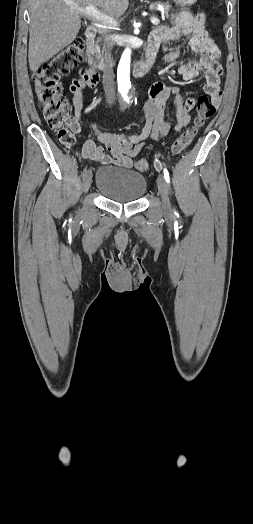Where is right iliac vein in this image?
<instances>
[{
    "label": "right iliac vein",
    "mask_w": 253,
    "mask_h": 524,
    "mask_svg": "<svg viewBox=\"0 0 253 524\" xmlns=\"http://www.w3.org/2000/svg\"><path fill=\"white\" fill-rule=\"evenodd\" d=\"M92 181V172L87 170L82 182V190L84 193L88 192Z\"/></svg>",
    "instance_id": "right-iliac-vein-1"
}]
</instances>
